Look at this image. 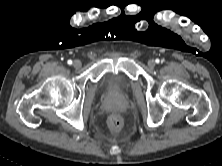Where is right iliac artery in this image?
<instances>
[{
  "label": "right iliac artery",
  "mask_w": 222,
  "mask_h": 166,
  "mask_svg": "<svg viewBox=\"0 0 222 166\" xmlns=\"http://www.w3.org/2000/svg\"><path fill=\"white\" fill-rule=\"evenodd\" d=\"M67 63H68L69 65H71V64H72V60H68Z\"/></svg>",
  "instance_id": "82829eb1"
}]
</instances>
